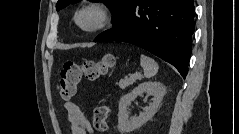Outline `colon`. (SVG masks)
<instances>
[{
  "mask_svg": "<svg viewBox=\"0 0 239 134\" xmlns=\"http://www.w3.org/2000/svg\"><path fill=\"white\" fill-rule=\"evenodd\" d=\"M115 57L107 54L99 61H85L83 63L66 62L60 72L58 84L60 95L64 99L75 96L79 83L83 78L96 81L104 77L114 66ZM110 110L108 106L101 105L95 108L93 114L94 127L100 132H106L109 128L107 119Z\"/></svg>",
  "mask_w": 239,
  "mask_h": 134,
  "instance_id": "5ec220e1",
  "label": "colon"
}]
</instances>
